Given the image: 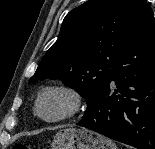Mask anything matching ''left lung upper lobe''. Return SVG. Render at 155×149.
<instances>
[{
  "instance_id": "5c2ea615",
  "label": "left lung upper lobe",
  "mask_w": 155,
  "mask_h": 149,
  "mask_svg": "<svg viewBox=\"0 0 155 149\" xmlns=\"http://www.w3.org/2000/svg\"><path fill=\"white\" fill-rule=\"evenodd\" d=\"M151 13L146 0H89L63 20L58 40L29 83L59 79L87 100L107 82L115 59Z\"/></svg>"
}]
</instances>
